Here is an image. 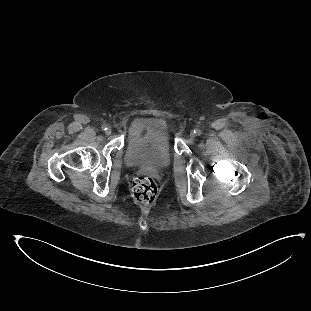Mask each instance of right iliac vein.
I'll list each match as a JSON object with an SVG mask.
<instances>
[{
	"instance_id": "right-iliac-vein-1",
	"label": "right iliac vein",
	"mask_w": 311,
	"mask_h": 311,
	"mask_svg": "<svg viewBox=\"0 0 311 311\" xmlns=\"http://www.w3.org/2000/svg\"><path fill=\"white\" fill-rule=\"evenodd\" d=\"M111 133H112L111 128H108L107 131H106V134H107V135H110Z\"/></svg>"
}]
</instances>
